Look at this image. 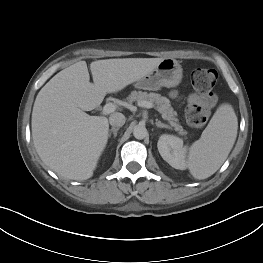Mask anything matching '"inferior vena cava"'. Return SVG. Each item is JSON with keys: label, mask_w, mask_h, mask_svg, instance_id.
Masks as SVG:
<instances>
[{"label": "inferior vena cava", "mask_w": 263, "mask_h": 263, "mask_svg": "<svg viewBox=\"0 0 263 263\" xmlns=\"http://www.w3.org/2000/svg\"><path fill=\"white\" fill-rule=\"evenodd\" d=\"M126 118L122 113L116 112L110 115L109 122L113 127H121L125 124Z\"/></svg>", "instance_id": "inferior-vena-cava-1"}]
</instances>
